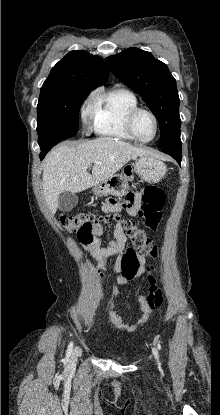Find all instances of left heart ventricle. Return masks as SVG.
Wrapping results in <instances>:
<instances>
[{
    "label": "left heart ventricle",
    "mask_w": 220,
    "mask_h": 415,
    "mask_svg": "<svg viewBox=\"0 0 220 415\" xmlns=\"http://www.w3.org/2000/svg\"><path fill=\"white\" fill-rule=\"evenodd\" d=\"M134 130L139 138L144 140L150 139L155 133L153 118L148 113H138L134 120Z\"/></svg>",
    "instance_id": "b2bd125f"
}]
</instances>
